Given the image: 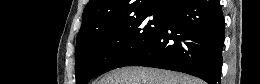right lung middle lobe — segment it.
Wrapping results in <instances>:
<instances>
[{"label": "right lung middle lobe", "instance_id": "dd1d6c3e", "mask_svg": "<svg viewBox=\"0 0 260 84\" xmlns=\"http://www.w3.org/2000/svg\"><path fill=\"white\" fill-rule=\"evenodd\" d=\"M165 21L166 13L143 12L97 25L76 43L77 84H87L99 74L128 65L151 45Z\"/></svg>", "mask_w": 260, "mask_h": 84}]
</instances>
